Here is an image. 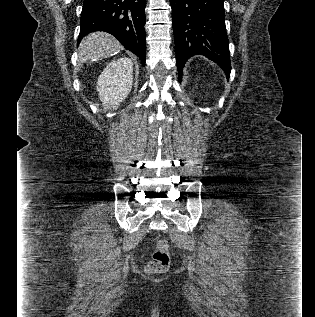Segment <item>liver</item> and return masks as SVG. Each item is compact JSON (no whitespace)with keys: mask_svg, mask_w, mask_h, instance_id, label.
Instances as JSON below:
<instances>
[{"mask_svg":"<svg viewBox=\"0 0 315 317\" xmlns=\"http://www.w3.org/2000/svg\"><path fill=\"white\" fill-rule=\"evenodd\" d=\"M121 49V44L110 34L95 32L81 41L78 57L81 63H92L112 56Z\"/></svg>","mask_w":315,"mask_h":317,"instance_id":"1","label":"liver"}]
</instances>
